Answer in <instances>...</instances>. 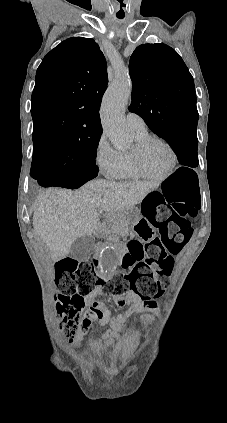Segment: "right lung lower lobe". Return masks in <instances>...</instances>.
I'll return each instance as SVG.
<instances>
[{
    "instance_id": "1",
    "label": "right lung lower lobe",
    "mask_w": 227,
    "mask_h": 423,
    "mask_svg": "<svg viewBox=\"0 0 227 423\" xmlns=\"http://www.w3.org/2000/svg\"><path fill=\"white\" fill-rule=\"evenodd\" d=\"M33 178L43 187L76 189L95 177L82 176L74 170L61 166L57 161L50 160L37 165V172Z\"/></svg>"
}]
</instances>
